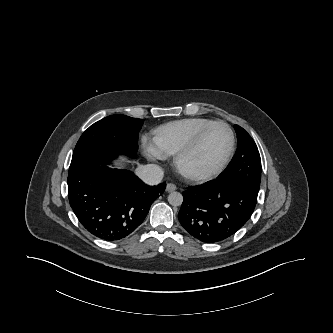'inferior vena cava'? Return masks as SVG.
<instances>
[{"mask_svg":"<svg viewBox=\"0 0 333 333\" xmlns=\"http://www.w3.org/2000/svg\"><path fill=\"white\" fill-rule=\"evenodd\" d=\"M137 176L148 185H157L161 182L164 172L156 164L139 166L136 170Z\"/></svg>","mask_w":333,"mask_h":333,"instance_id":"inferior-vena-cava-1","label":"inferior vena cava"}]
</instances>
